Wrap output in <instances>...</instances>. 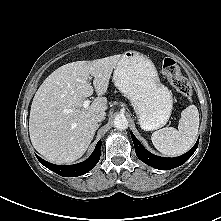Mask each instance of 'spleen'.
Segmentation results:
<instances>
[{
	"instance_id": "1",
	"label": "spleen",
	"mask_w": 221,
	"mask_h": 221,
	"mask_svg": "<svg viewBox=\"0 0 221 221\" xmlns=\"http://www.w3.org/2000/svg\"><path fill=\"white\" fill-rule=\"evenodd\" d=\"M199 128V112L190 105L181 113L178 130L165 127L155 131L151 140L154 147L164 155L177 156L188 151L194 144Z\"/></svg>"
}]
</instances>
